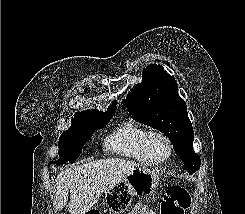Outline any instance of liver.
Here are the masks:
<instances>
[{
  "label": "liver",
  "mask_w": 245,
  "mask_h": 214,
  "mask_svg": "<svg viewBox=\"0 0 245 214\" xmlns=\"http://www.w3.org/2000/svg\"><path fill=\"white\" fill-rule=\"evenodd\" d=\"M137 164L118 158L89 161L62 171L56 178L55 205L61 211L70 192V214H85L101 195L121 182Z\"/></svg>",
  "instance_id": "6515ba94"
}]
</instances>
